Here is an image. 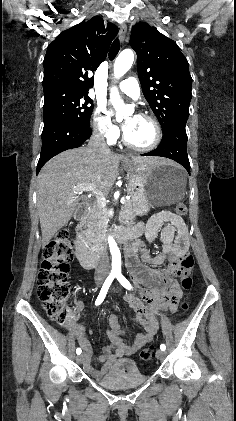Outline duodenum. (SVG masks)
<instances>
[{
	"label": "duodenum",
	"instance_id": "1",
	"mask_svg": "<svg viewBox=\"0 0 236 421\" xmlns=\"http://www.w3.org/2000/svg\"><path fill=\"white\" fill-rule=\"evenodd\" d=\"M86 217V205L81 204L76 212L75 219L79 222L83 221ZM139 232L133 228H119L115 231L116 239L124 244L126 255L128 259V266L131 274L134 278L135 283L142 287L143 298L147 301L148 306L151 310L157 311L160 309L172 310L175 306L179 294L174 286L172 277L178 273L179 268V255L177 246L175 245L169 252L171 257V265L168 270L153 269L149 266L141 263L135 255L137 250H142V244L137 240ZM75 248L77 258L86 269H92L99 265L100 254L92 250L85 239L80 233H77L75 238ZM163 256H157L152 259H148L153 264H158ZM135 310L140 314L145 315V310H139L134 307ZM147 319L143 321L147 333L137 339L136 344L144 342L150 334L153 333V328L150 322V317L146 313ZM75 337L79 342H86L83 332L80 330L73 331ZM109 337L113 342V345L117 347L116 353L111 354L110 349H105V354L99 357L101 362H106L105 366L101 370H96L89 364V356L87 355L83 362L85 369L94 377L100 378L109 368L111 363L116 359L117 356H122L125 353L131 351L132 347L125 346L122 340L119 338L120 331L117 328L108 331Z\"/></svg>",
	"mask_w": 236,
	"mask_h": 421
}]
</instances>
